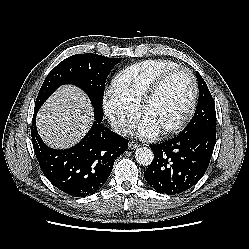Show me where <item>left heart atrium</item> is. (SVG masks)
<instances>
[{
  "label": "left heart atrium",
  "mask_w": 249,
  "mask_h": 249,
  "mask_svg": "<svg viewBox=\"0 0 249 249\" xmlns=\"http://www.w3.org/2000/svg\"><path fill=\"white\" fill-rule=\"evenodd\" d=\"M159 132V129L153 125L152 123H150L149 121L143 119L137 129V134L140 137H153L155 136L157 133Z\"/></svg>",
  "instance_id": "1"
}]
</instances>
